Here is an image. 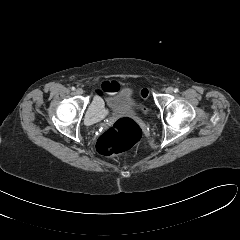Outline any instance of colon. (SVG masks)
Wrapping results in <instances>:
<instances>
[{"label": "colon", "instance_id": "5ec220e1", "mask_svg": "<svg viewBox=\"0 0 240 240\" xmlns=\"http://www.w3.org/2000/svg\"><path fill=\"white\" fill-rule=\"evenodd\" d=\"M141 136L142 130L134 120L121 118L98 137L96 149L101 155L114 156L133 147Z\"/></svg>", "mask_w": 240, "mask_h": 240}]
</instances>
